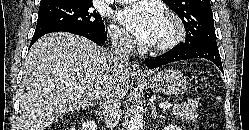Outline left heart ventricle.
<instances>
[{
	"mask_svg": "<svg viewBox=\"0 0 249 130\" xmlns=\"http://www.w3.org/2000/svg\"><path fill=\"white\" fill-rule=\"evenodd\" d=\"M172 33H173L172 26L166 20H164L161 29L159 31L158 39L154 45L159 44L162 41L168 39L172 35Z\"/></svg>",
	"mask_w": 249,
	"mask_h": 130,
	"instance_id": "left-heart-ventricle-1",
	"label": "left heart ventricle"
}]
</instances>
